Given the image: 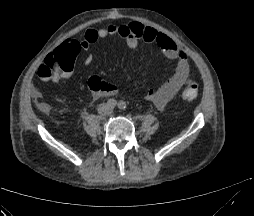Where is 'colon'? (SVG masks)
Returning a JSON list of instances; mask_svg holds the SVG:
<instances>
[{
    "label": "colon",
    "instance_id": "1",
    "mask_svg": "<svg viewBox=\"0 0 254 216\" xmlns=\"http://www.w3.org/2000/svg\"><path fill=\"white\" fill-rule=\"evenodd\" d=\"M79 51H81V46L77 43L73 51L59 50L55 54H49L38 69L39 77L49 79L56 73L71 70L73 68L72 56ZM198 87L197 81H188L181 89V99L184 102L193 101L197 97Z\"/></svg>",
    "mask_w": 254,
    "mask_h": 216
}]
</instances>
